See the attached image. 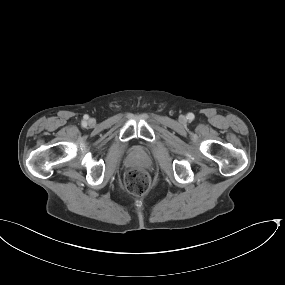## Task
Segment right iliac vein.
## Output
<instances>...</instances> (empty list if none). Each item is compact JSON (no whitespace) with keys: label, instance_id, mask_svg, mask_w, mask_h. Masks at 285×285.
Here are the masks:
<instances>
[{"label":"right iliac vein","instance_id":"1","mask_svg":"<svg viewBox=\"0 0 285 285\" xmlns=\"http://www.w3.org/2000/svg\"><path fill=\"white\" fill-rule=\"evenodd\" d=\"M92 123H93V121H92V120H89V121H88V124H90V125H91Z\"/></svg>","mask_w":285,"mask_h":285}]
</instances>
